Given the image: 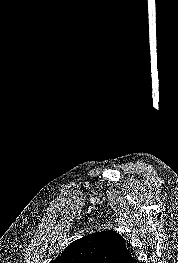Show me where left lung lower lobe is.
<instances>
[{"label": "left lung lower lobe", "mask_w": 178, "mask_h": 263, "mask_svg": "<svg viewBox=\"0 0 178 263\" xmlns=\"http://www.w3.org/2000/svg\"><path fill=\"white\" fill-rule=\"evenodd\" d=\"M109 263H137V261L130 254L128 245L126 244L120 254L114 257Z\"/></svg>", "instance_id": "obj_1"}]
</instances>
